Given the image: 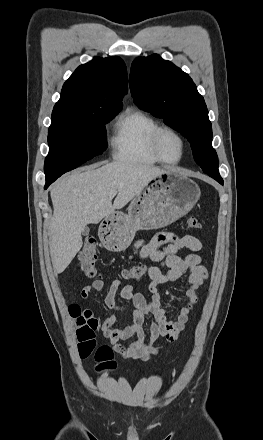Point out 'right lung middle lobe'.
I'll use <instances>...</instances> for the list:
<instances>
[{"instance_id":"obj_1","label":"right lung middle lobe","mask_w":263,"mask_h":440,"mask_svg":"<svg viewBox=\"0 0 263 440\" xmlns=\"http://www.w3.org/2000/svg\"><path fill=\"white\" fill-rule=\"evenodd\" d=\"M117 114L97 112L52 119L48 130L49 154L44 165L46 180H56L101 154L107 148L105 124Z\"/></svg>"}]
</instances>
